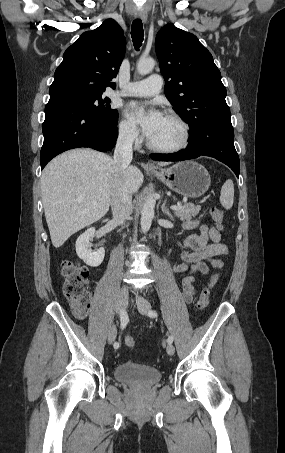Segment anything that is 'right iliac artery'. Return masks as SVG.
<instances>
[{
	"mask_svg": "<svg viewBox=\"0 0 285 453\" xmlns=\"http://www.w3.org/2000/svg\"><path fill=\"white\" fill-rule=\"evenodd\" d=\"M120 321H121V329H124L128 323V316L125 310H122L120 312ZM114 348L117 349L119 348V342L114 343Z\"/></svg>",
	"mask_w": 285,
	"mask_h": 453,
	"instance_id": "1",
	"label": "right iliac artery"
}]
</instances>
